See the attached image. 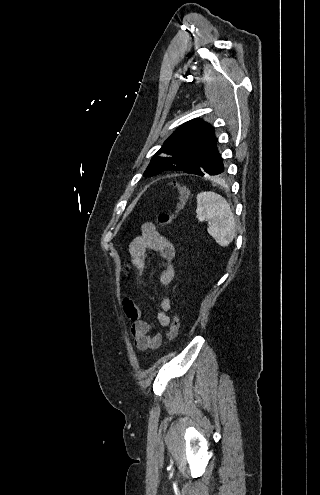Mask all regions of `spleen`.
I'll use <instances>...</instances> for the list:
<instances>
[{"mask_svg": "<svg viewBox=\"0 0 320 495\" xmlns=\"http://www.w3.org/2000/svg\"><path fill=\"white\" fill-rule=\"evenodd\" d=\"M196 214L200 222H208L207 231L218 245H230L236 230L234 214L226 199L212 191L200 192L197 195Z\"/></svg>", "mask_w": 320, "mask_h": 495, "instance_id": "1", "label": "spleen"}]
</instances>
